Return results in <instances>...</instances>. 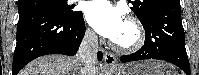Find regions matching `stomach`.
<instances>
[{
    "label": "stomach",
    "mask_w": 199,
    "mask_h": 75,
    "mask_svg": "<svg viewBox=\"0 0 199 75\" xmlns=\"http://www.w3.org/2000/svg\"><path fill=\"white\" fill-rule=\"evenodd\" d=\"M171 66L159 61H140L125 64L120 75H172Z\"/></svg>",
    "instance_id": "1"
}]
</instances>
